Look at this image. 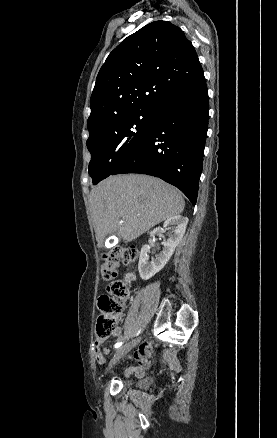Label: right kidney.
<instances>
[{
    "mask_svg": "<svg viewBox=\"0 0 277 438\" xmlns=\"http://www.w3.org/2000/svg\"><path fill=\"white\" fill-rule=\"evenodd\" d=\"M188 222V218H184V216H179L178 214V216H173V218H168V220H165L163 228H155L153 232H150L152 240H155V234H157V232H166V230H169V226H172L173 228V232H171L169 240H164V242H162L164 246V248H162V252L156 254L155 258H151V262L149 260L151 246H147L146 244V246L141 248L138 270L142 280H150L152 276H155L157 272H160V270L166 266L176 246H178L179 242H181Z\"/></svg>",
    "mask_w": 277,
    "mask_h": 438,
    "instance_id": "ca27d5eb",
    "label": "right kidney"
}]
</instances>
